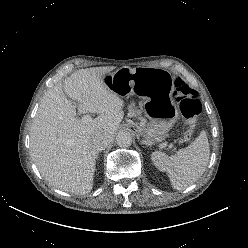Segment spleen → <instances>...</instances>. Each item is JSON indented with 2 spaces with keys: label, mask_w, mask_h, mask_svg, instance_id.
I'll list each match as a JSON object with an SVG mask.
<instances>
[{
  "label": "spleen",
  "mask_w": 248,
  "mask_h": 248,
  "mask_svg": "<svg viewBox=\"0 0 248 248\" xmlns=\"http://www.w3.org/2000/svg\"><path fill=\"white\" fill-rule=\"evenodd\" d=\"M210 148L205 131L188 147L176 154L167 156L163 152H153L151 160L162 172H167L171 185L176 190H183L195 183L204 173L209 161Z\"/></svg>",
  "instance_id": "1"
}]
</instances>
